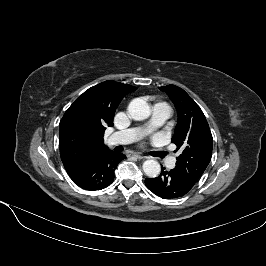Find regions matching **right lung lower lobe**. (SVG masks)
<instances>
[{
  "label": "right lung lower lobe",
  "mask_w": 266,
  "mask_h": 266,
  "mask_svg": "<svg viewBox=\"0 0 266 266\" xmlns=\"http://www.w3.org/2000/svg\"><path fill=\"white\" fill-rule=\"evenodd\" d=\"M124 158L121 153L108 149L86 157L66 171L82 189L101 190L113 182L114 171Z\"/></svg>",
  "instance_id": "right-lung-lower-lobe-1"
}]
</instances>
